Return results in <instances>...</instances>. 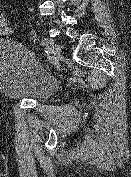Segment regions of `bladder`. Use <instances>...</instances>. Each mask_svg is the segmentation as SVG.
Returning a JSON list of instances; mask_svg holds the SVG:
<instances>
[{"mask_svg": "<svg viewBox=\"0 0 131 177\" xmlns=\"http://www.w3.org/2000/svg\"><path fill=\"white\" fill-rule=\"evenodd\" d=\"M58 88L35 56L15 41L0 43V94L12 100L43 102Z\"/></svg>", "mask_w": 131, "mask_h": 177, "instance_id": "31cf9c89", "label": "bladder"}]
</instances>
